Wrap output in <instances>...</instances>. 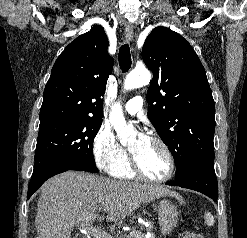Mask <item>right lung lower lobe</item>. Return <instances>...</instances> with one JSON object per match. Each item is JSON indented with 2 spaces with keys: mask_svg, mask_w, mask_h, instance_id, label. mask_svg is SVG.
<instances>
[{
  "mask_svg": "<svg viewBox=\"0 0 247 238\" xmlns=\"http://www.w3.org/2000/svg\"><path fill=\"white\" fill-rule=\"evenodd\" d=\"M68 170H73L69 167L66 166H55L52 168H49L42 172L41 176L37 178L36 180L30 181L29 188H28V194L27 198H30L31 195L50 177L68 171Z\"/></svg>",
  "mask_w": 247,
  "mask_h": 238,
  "instance_id": "right-lung-lower-lobe-1",
  "label": "right lung lower lobe"
}]
</instances>
